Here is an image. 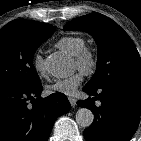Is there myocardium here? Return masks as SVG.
Returning <instances> with one entry per match:
<instances>
[{
  "label": "myocardium",
  "instance_id": "myocardium-1",
  "mask_svg": "<svg viewBox=\"0 0 141 141\" xmlns=\"http://www.w3.org/2000/svg\"><path fill=\"white\" fill-rule=\"evenodd\" d=\"M74 59L80 72L87 76L93 74L98 65L96 52L87 46L83 47Z\"/></svg>",
  "mask_w": 141,
  "mask_h": 141
}]
</instances>
